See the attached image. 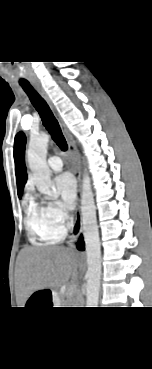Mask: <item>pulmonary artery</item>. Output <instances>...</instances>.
<instances>
[{
    "instance_id": "obj_1",
    "label": "pulmonary artery",
    "mask_w": 152,
    "mask_h": 369,
    "mask_svg": "<svg viewBox=\"0 0 152 369\" xmlns=\"http://www.w3.org/2000/svg\"><path fill=\"white\" fill-rule=\"evenodd\" d=\"M47 164L54 171H60L63 167L62 160L59 156H51L48 159Z\"/></svg>"
}]
</instances>
